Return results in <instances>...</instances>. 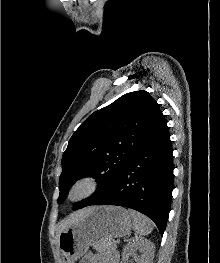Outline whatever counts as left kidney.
Instances as JSON below:
<instances>
[{"instance_id": "left-kidney-1", "label": "left kidney", "mask_w": 220, "mask_h": 263, "mask_svg": "<svg viewBox=\"0 0 220 263\" xmlns=\"http://www.w3.org/2000/svg\"><path fill=\"white\" fill-rule=\"evenodd\" d=\"M139 250L141 256H136V251ZM155 252L154 244L146 238L135 237L128 242L122 252L123 263H128L129 256H135L137 263H152ZM122 263V262H121Z\"/></svg>"}]
</instances>
